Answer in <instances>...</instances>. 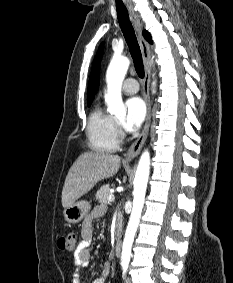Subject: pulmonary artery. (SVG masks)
<instances>
[{
	"label": "pulmonary artery",
	"instance_id": "e3ab8cb5",
	"mask_svg": "<svg viewBox=\"0 0 233 283\" xmlns=\"http://www.w3.org/2000/svg\"><path fill=\"white\" fill-rule=\"evenodd\" d=\"M122 90L127 94H135L139 90L137 80L133 78L126 79L123 83Z\"/></svg>",
	"mask_w": 233,
	"mask_h": 283
}]
</instances>
